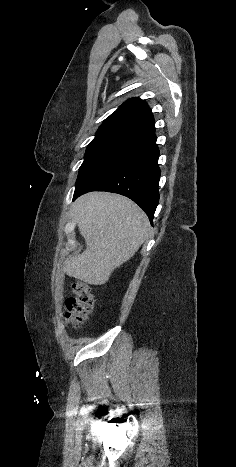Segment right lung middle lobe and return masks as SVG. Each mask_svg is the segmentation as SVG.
Here are the masks:
<instances>
[{"label":"right lung middle lobe","mask_w":236,"mask_h":467,"mask_svg":"<svg viewBox=\"0 0 236 467\" xmlns=\"http://www.w3.org/2000/svg\"><path fill=\"white\" fill-rule=\"evenodd\" d=\"M139 135L135 131L122 128H99L95 138L86 149L85 159L79 169L76 183L114 151Z\"/></svg>","instance_id":"1"}]
</instances>
